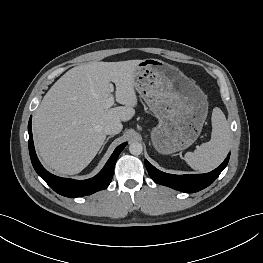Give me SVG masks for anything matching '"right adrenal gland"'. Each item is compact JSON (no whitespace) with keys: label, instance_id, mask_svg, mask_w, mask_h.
Masks as SVG:
<instances>
[{"label":"right adrenal gland","instance_id":"right-adrenal-gland-1","mask_svg":"<svg viewBox=\"0 0 263 263\" xmlns=\"http://www.w3.org/2000/svg\"><path fill=\"white\" fill-rule=\"evenodd\" d=\"M112 137H113V135H110V136H108V137L106 138V140H105V142H104L103 146L101 147V149H100L99 153H101V152H102V150L104 149V147H105L106 143H107V142H108V140H109L110 138H112Z\"/></svg>","mask_w":263,"mask_h":263}]
</instances>
